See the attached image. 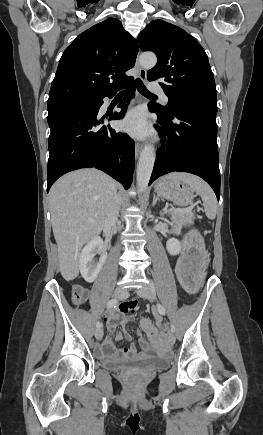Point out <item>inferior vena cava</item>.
<instances>
[{
	"label": "inferior vena cava",
	"instance_id": "602c4592",
	"mask_svg": "<svg viewBox=\"0 0 263 435\" xmlns=\"http://www.w3.org/2000/svg\"><path fill=\"white\" fill-rule=\"evenodd\" d=\"M121 205V198L119 195H116L113 203L111 204L109 211L107 213V217L105 220V225L110 226L113 230L117 228V221L119 216V209Z\"/></svg>",
	"mask_w": 263,
	"mask_h": 435
}]
</instances>
